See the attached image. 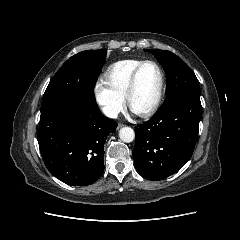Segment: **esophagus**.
Listing matches in <instances>:
<instances>
[{"mask_svg": "<svg viewBox=\"0 0 240 240\" xmlns=\"http://www.w3.org/2000/svg\"><path fill=\"white\" fill-rule=\"evenodd\" d=\"M123 126H124L123 124L119 123L117 128L119 129L122 128Z\"/></svg>", "mask_w": 240, "mask_h": 240, "instance_id": "1", "label": "esophagus"}]
</instances>
